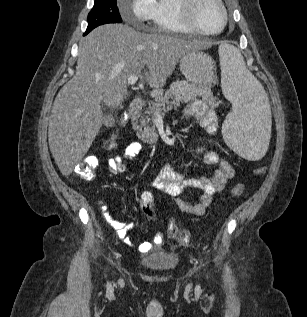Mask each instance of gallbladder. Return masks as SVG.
<instances>
[{"label":"gallbladder","mask_w":307,"mask_h":317,"mask_svg":"<svg viewBox=\"0 0 307 317\" xmlns=\"http://www.w3.org/2000/svg\"><path fill=\"white\" fill-rule=\"evenodd\" d=\"M103 124L106 127H112L113 126L114 117H113V115L111 113L104 112V114H103Z\"/></svg>","instance_id":"gallbladder-1"}]
</instances>
